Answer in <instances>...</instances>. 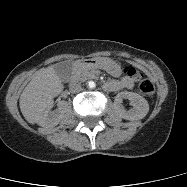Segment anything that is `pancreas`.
Masks as SVG:
<instances>
[{
  "instance_id": "1",
  "label": "pancreas",
  "mask_w": 187,
  "mask_h": 187,
  "mask_svg": "<svg viewBox=\"0 0 187 187\" xmlns=\"http://www.w3.org/2000/svg\"><path fill=\"white\" fill-rule=\"evenodd\" d=\"M97 75H98L97 69L90 65L82 66L81 68L77 69L74 72V78L77 81H86L89 79H96Z\"/></svg>"
}]
</instances>
